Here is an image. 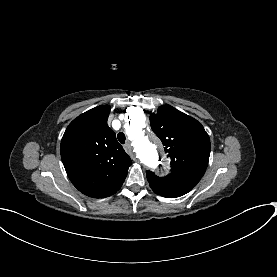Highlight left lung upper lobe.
I'll return each instance as SVG.
<instances>
[{"label": "left lung upper lobe", "instance_id": "obj_1", "mask_svg": "<svg viewBox=\"0 0 277 277\" xmlns=\"http://www.w3.org/2000/svg\"><path fill=\"white\" fill-rule=\"evenodd\" d=\"M152 130L161 139L171 158L172 171L165 178L147 171L154 193L176 198L188 193L200 181L208 166L210 139L196 119L170 105L150 115Z\"/></svg>", "mask_w": 277, "mask_h": 277}]
</instances>
